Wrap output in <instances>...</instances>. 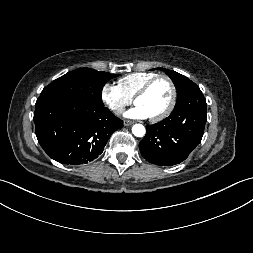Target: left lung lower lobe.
<instances>
[{
    "mask_svg": "<svg viewBox=\"0 0 253 253\" xmlns=\"http://www.w3.org/2000/svg\"><path fill=\"white\" fill-rule=\"evenodd\" d=\"M206 121V100L199 87L194 85L176 103L169 117L147 126L139 145L142 156L160 166L181 163L201 142Z\"/></svg>",
    "mask_w": 253,
    "mask_h": 253,
    "instance_id": "1",
    "label": "left lung lower lobe"
}]
</instances>
